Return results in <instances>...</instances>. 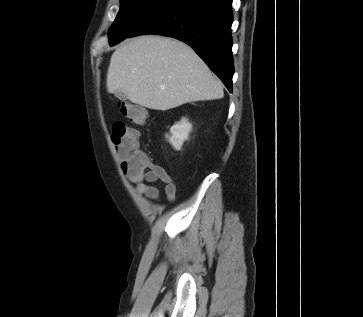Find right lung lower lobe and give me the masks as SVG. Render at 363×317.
<instances>
[{"label":"right lung lower lobe","mask_w":363,"mask_h":317,"mask_svg":"<svg viewBox=\"0 0 363 317\" xmlns=\"http://www.w3.org/2000/svg\"><path fill=\"white\" fill-rule=\"evenodd\" d=\"M232 0H178L128 37L159 34L191 46L232 92Z\"/></svg>","instance_id":"right-lung-lower-lobe-1"}]
</instances>
